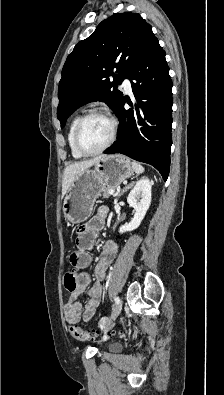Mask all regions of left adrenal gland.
<instances>
[{
	"mask_svg": "<svg viewBox=\"0 0 224 395\" xmlns=\"http://www.w3.org/2000/svg\"><path fill=\"white\" fill-rule=\"evenodd\" d=\"M133 185V183H130L129 185H127L126 187H124L122 189V191L119 193L118 196H121L124 192H126L129 188H131V186Z\"/></svg>",
	"mask_w": 224,
	"mask_h": 395,
	"instance_id": "a2214340",
	"label": "left adrenal gland"
}]
</instances>
